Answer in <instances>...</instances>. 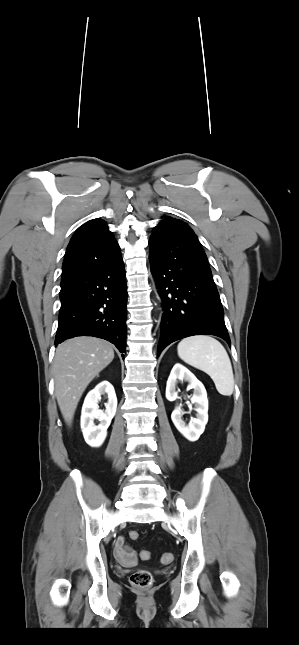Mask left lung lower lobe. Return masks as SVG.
Wrapping results in <instances>:
<instances>
[{
	"instance_id": "0a47b994",
	"label": "left lung lower lobe",
	"mask_w": 299,
	"mask_h": 645,
	"mask_svg": "<svg viewBox=\"0 0 299 645\" xmlns=\"http://www.w3.org/2000/svg\"><path fill=\"white\" fill-rule=\"evenodd\" d=\"M149 246L164 311L158 355L170 343L193 335H215L230 345L219 293L192 229L178 219L160 222Z\"/></svg>"
}]
</instances>
